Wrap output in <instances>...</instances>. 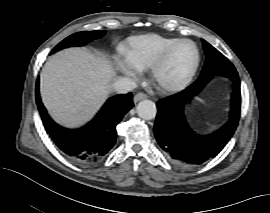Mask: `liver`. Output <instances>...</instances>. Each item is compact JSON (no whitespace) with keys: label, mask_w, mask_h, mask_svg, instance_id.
<instances>
[{"label":"liver","mask_w":270,"mask_h":213,"mask_svg":"<svg viewBox=\"0 0 270 213\" xmlns=\"http://www.w3.org/2000/svg\"><path fill=\"white\" fill-rule=\"evenodd\" d=\"M113 76L112 66L104 57L83 48L62 50L42 69V101L56 122L80 126L104 103Z\"/></svg>","instance_id":"obj_1"}]
</instances>
